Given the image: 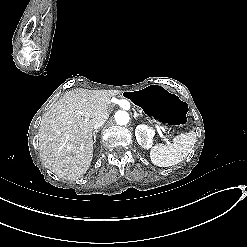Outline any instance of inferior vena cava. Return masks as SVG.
<instances>
[{"mask_svg": "<svg viewBox=\"0 0 247 247\" xmlns=\"http://www.w3.org/2000/svg\"><path fill=\"white\" fill-rule=\"evenodd\" d=\"M106 120H107L106 118L98 120V121L93 125V128H94L95 130L99 129L100 127H102V126L104 125V123H105Z\"/></svg>", "mask_w": 247, "mask_h": 247, "instance_id": "inferior-vena-cava-1", "label": "inferior vena cava"}]
</instances>
